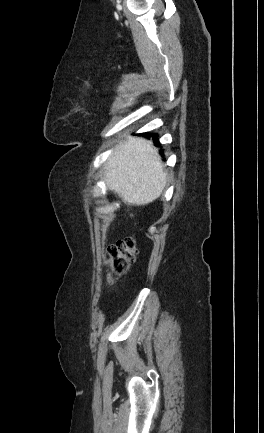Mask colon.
Returning <instances> with one entry per match:
<instances>
[{
	"label": "colon",
	"instance_id": "obj_1",
	"mask_svg": "<svg viewBox=\"0 0 264 433\" xmlns=\"http://www.w3.org/2000/svg\"><path fill=\"white\" fill-rule=\"evenodd\" d=\"M137 255L135 239L127 237L109 246L107 250V263L115 274H124L131 264L134 263Z\"/></svg>",
	"mask_w": 264,
	"mask_h": 433
}]
</instances>
